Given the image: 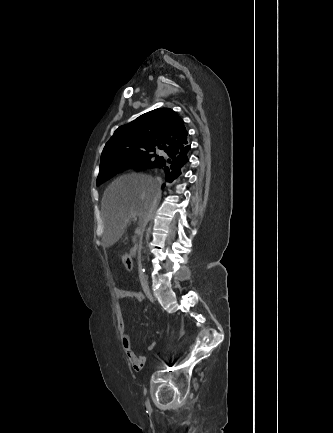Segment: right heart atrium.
Segmentation results:
<instances>
[{"label":"right heart atrium","mask_w":333,"mask_h":433,"mask_svg":"<svg viewBox=\"0 0 333 433\" xmlns=\"http://www.w3.org/2000/svg\"><path fill=\"white\" fill-rule=\"evenodd\" d=\"M139 167H140V164H139L138 161H133V162L131 163V168H132L133 170H137Z\"/></svg>","instance_id":"d8ad5b80"}]
</instances>
